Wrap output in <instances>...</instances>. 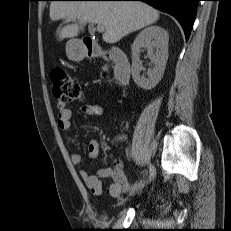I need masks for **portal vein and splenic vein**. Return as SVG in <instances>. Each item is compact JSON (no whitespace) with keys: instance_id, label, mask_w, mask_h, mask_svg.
Masks as SVG:
<instances>
[{"instance_id":"obj_1","label":"portal vein and splenic vein","mask_w":231,"mask_h":231,"mask_svg":"<svg viewBox=\"0 0 231 231\" xmlns=\"http://www.w3.org/2000/svg\"><path fill=\"white\" fill-rule=\"evenodd\" d=\"M97 31L98 32H103L104 31V26L101 25L100 23H97Z\"/></svg>"}]
</instances>
